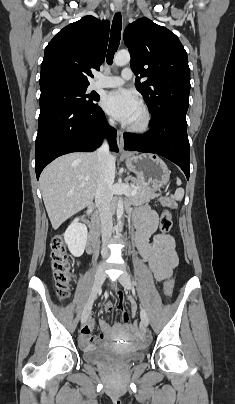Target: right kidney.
Segmentation results:
<instances>
[{"mask_svg":"<svg viewBox=\"0 0 235 404\" xmlns=\"http://www.w3.org/2000/svg\"><path fill=\"white\" fill-rule=\"evenodd\" d=\"M64 240L70 253L75 257H80L86 246L87 227L75 219L65 231Z\"/></svg>","mask_w":235,"mask_h":404,"instance_id":"obj_1","label":"right kidney"}]
</instances>
